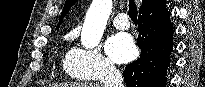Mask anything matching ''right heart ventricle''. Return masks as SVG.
<instances>
[{"instance_id":"1","label":"right heart ventricle","mask_w":205,"mask_h":87,"mask_svg":"<svg viewBox=\"0 0 205 87\" xmlns=\"http://www.w3.org/2000/svg\"><path fill=\"white\" fill-rule=\"evenodd\" d=\"M68 55H69V52L65 55V58H64V60H63V67H64L65 72H66L71 78H73V79L83 80V78H80V77H78V76H75V75L71 72V70H70V68H69V65H68Z\"/></svg>"}]
</instances>
